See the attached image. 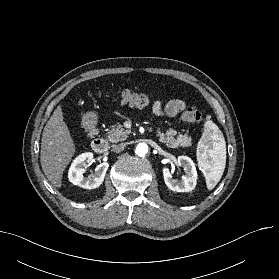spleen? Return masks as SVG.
I'll return each mask as SVG.
<instances>
[{"instance_id":"spleen-1","label":"spleen","mask_w":279,"mask_h":279,"mask_svg":"<svg viewBox=\"0 0 279 279\" xmlns=\"http://www.w3.org/2000/svg\"><path fill=\"white\" fill-rule=\"evenodd\" d=\"M199 169L203 172L208 190L220 181L226 165V143L223 133L211 120L204 124V132L197 148Z\"/></svg>"}]
</instances>
